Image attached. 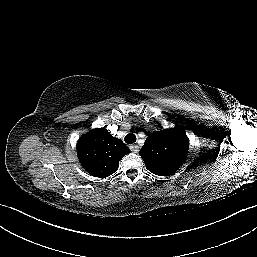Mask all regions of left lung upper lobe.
Returning <instances> with one entry per match:
<instances>
[{
	"label": "left lung upper lobe",
	"instance_id": "5c2ea615",
	"mask_svg": "<svg viewBox=\"0 0 257 257\" xmlns=\"http://www.w3.org/2000/svg\"><path fill=\"white\" fill-rule=\"evenodd\" d=\"M188 149L186 134L178 128H172L150 134L139 154L150 172L169 176L184 163Z\"/></svg>",
	"mask_w": 257,
	"mask_h": 257
}]
</instances>
